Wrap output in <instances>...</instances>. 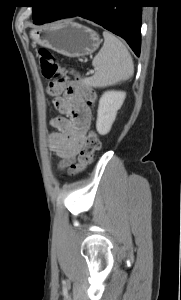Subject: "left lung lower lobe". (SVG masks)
<instances>
[{
  "mask_svg": "<svg viewBox=\"0 0 181 300\" xmlns=\"http://www.w3.org/2000/svg\"><path fill=\"white\" fill-rule=\"evenodd\" d=\"M142 7L140 0H62L44 23L80 16L125 39L139 56Z\"/></svg>",
  "mask_w": 181,
  "mask_h": 300,
  "instance_id": "1",
  "label": "left lung lower lobe"
}]
</instances>
